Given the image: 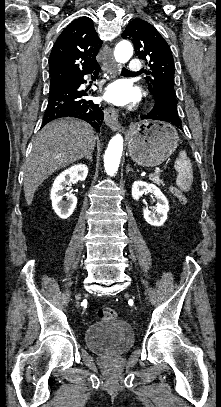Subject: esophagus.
Segmentation results:
<instances>
[{
  "instance_id": "34e87169",
  "label": "esophagus",
  "mask_w": 221,
  "mask_h": 407,
  "mask_svg": "<svg viewBox=\"0 0 221 407\" xmlns=\"http://www.w3.org/2000/svg\"><path fill=\"white\" fill-rule=\"evenodd\" d=\"M105 66L104 69L108 73L117 72L119 66L116 64L113 58L112 49L108 46H105ZM104 121L107 126H109L112 130L117 131L121 128L120 122L118 120V113L113 107H107L104 109Z\"/></svg>"
}]
</instances>
